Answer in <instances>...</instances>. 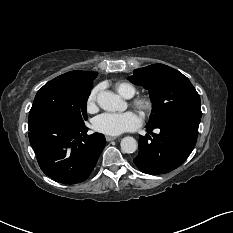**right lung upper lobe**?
I'll use <instances>...</instances> for the list:
<instances>
[{
    "mask_svg": "<svg viewBox=\"0 0 233 233\" xmlns=\"http://www.w3.org/2000/svg\"><path fill=\"white\" fill-rule=\"evenodd\" d=\"M95 72H86V71H71L66 73L67 75H71V76H88V75H92Z\"/></svg>",
    "mask_w": 233,
    "mask_h": 233,
    "instance_id": "cb5924a9",
    "label": "right lung upper lobe"
}]
</instances>
